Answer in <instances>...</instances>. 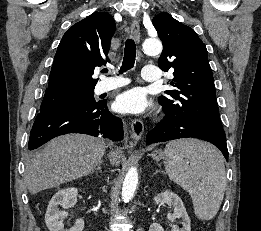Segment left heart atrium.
<instances>
[{"label":"left heart atrium","instance_id":"left-heart-atrium-1","mask_svg":"<svg viewBox=\"0 0 261 231\" xmlns=\"http://www.w3.org/2000/svg\"><path fill=\"white\" fill-rule=\"evenodd\" d=\"M151 103L145 91L136 87L119 95L115 101V108L121 113L141 114L145 112Z\"/></svg>","mask_w":261,"mask_h":231}]
</instances>
